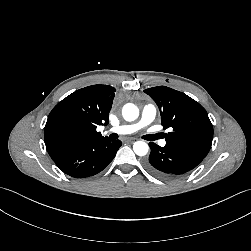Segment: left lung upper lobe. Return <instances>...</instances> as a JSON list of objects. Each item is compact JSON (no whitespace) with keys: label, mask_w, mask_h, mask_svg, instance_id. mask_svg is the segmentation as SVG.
Instances as JSON below:
<instances>
[{"label":"left lung upper lobe","mask_w":251,"mask_h":251,"mask_svg":"<svg viewBox=\"0 0 251 251\" xmlns=\"http://www.w3.org/2000/svg\"><path fill=\"white\" fill-rule=\"evenodd\" d=\"M158 105L161 124L172 131L166 144L185 148L206 157L213 140V126L206 110L186 94L166 86L144 90Z\"/></svg>","instance_id":"1"}]
</instances>
